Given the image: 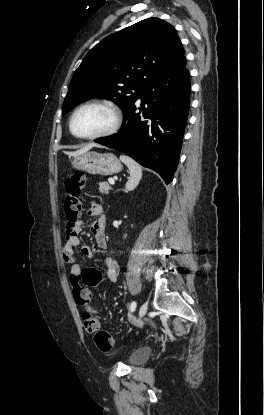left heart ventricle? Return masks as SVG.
I'll use <instances>...</instances> for the list:
<instances>
[{
	"label": "left heart ventricle",
	"instance_id": "left-heart-ventricle-1",
	"mask_svg": "<svg viewBox=\"0 0 264 415\" xmlns=\"http://www.w3.org/2000/svg\"><path fill=\"white\" fill-rule=\"evenodd\" d=\"M113 122L109 110L99 106L83 108L75 117L74 129L80 135H94L107 130Z\"/></svg>",
	"mask_w": 264,
	"mask_h": 415
}]
</instances>
